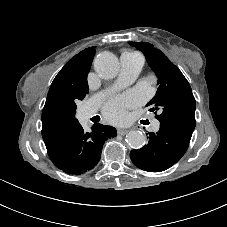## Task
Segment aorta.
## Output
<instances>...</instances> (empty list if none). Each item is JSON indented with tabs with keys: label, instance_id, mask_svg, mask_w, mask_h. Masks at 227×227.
I'll return each mask as SVG.
<instances>
[{
	"label": "aorta",
	"instance_id": "762f6f07",
	"mask_svg": "<svg viewBox=\"0 0 227 227\" xmlns=\"http://www.w3.org/2000/svg\"><path fill=\"white\" fill-rule=\"evenodd\" d=\"M94 69L101 78L112 79L117 75L119 70L118 58L112 52H101L94 60ZM126 142L130 147L139 149L145 145L146 136L142 131L131 130L126 135Z\"/></svg>",
	"mask_w": 227,
	"mask_h": 227
}]
</instances>
